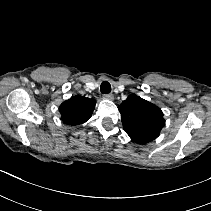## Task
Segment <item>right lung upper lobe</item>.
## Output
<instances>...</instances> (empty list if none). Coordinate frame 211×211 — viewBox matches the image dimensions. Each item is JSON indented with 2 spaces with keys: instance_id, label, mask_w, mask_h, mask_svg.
I'll use <instances>...</instances> for the list:
<instances>
[{
  "instance_id": "1",
  "label": "right lung upper lobe",
  "mask_w": 211,
  "mask_h": 211,
  "mask_svg": "<svg viewBox=\"0 0 211 211\" xmlns=\"http://www.w3.org/2000/svg\"><path fill=\"white\" fill-rule=\"evenodd\" d=\"M96 101L80 95L71 97L63 102L59 111L61 120L68 125H80L85 123L92 115Z\"/></svg>"
}]
</instances>
